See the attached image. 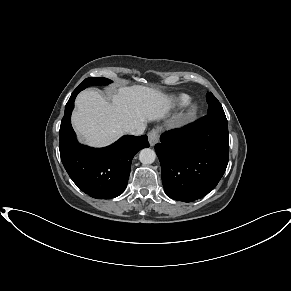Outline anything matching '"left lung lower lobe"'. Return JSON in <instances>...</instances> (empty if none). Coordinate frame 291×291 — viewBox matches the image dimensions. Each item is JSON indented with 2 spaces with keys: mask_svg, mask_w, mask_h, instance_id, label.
I'll return each instance as SVG.
<instances>
[{
  "mask_svg": "<svg viewBox=\"0 0 291 291\" xmlns=\"http://www.w3.org/2000/svg\"><path fill=\"white\" fill-rule=\"evenodd\" d=\"M155 145L166 194L192 202L212 191L222 178L229 156L225 114L206 115L180 129L165 132Z\"/></svg>",
  "mask_w": 291,
  "mask_h": 291,
  "instance_id": "0a47b994",
  "label": "left lung lower lobe"
}]
</instances>
